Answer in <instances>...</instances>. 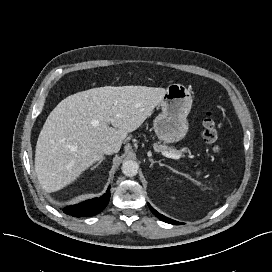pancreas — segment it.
<instances>
[{
    "label": "pancreas",
    "mask_w": 272,
    "mask_h": 272,
    "mask_svg": "<svg viewBox=\"0 0 272 272\" xmlns=\"http://www.w3.org/2000/svg\"><path fill=\"white\" fill-rule=\"evenodd\" d=\"M153 147H154L155 151H158V152L169 150V152H171V153L181 154V151L176 150L174 148H170V147H168V146H166L164 144L155 143Z\"/></svg>",
    "instance_id": "pancreas-1"
}]
</instances>
